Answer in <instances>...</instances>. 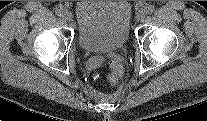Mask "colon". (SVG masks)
<instances>
[{"label":"colon","instance_id":"colon-1","mask_svg":"<svg viewBox=\"0 0 207 121\" xmlns=\"http://www.w3.org/2000/svg\"><path fill=\"white\" fill-rule=\"evenodd\" d=\"M123 70V66L119 61H113L110 65V81H116Z\"/></svg>","mask_w":207,"mask_h":121}]
</instances>
